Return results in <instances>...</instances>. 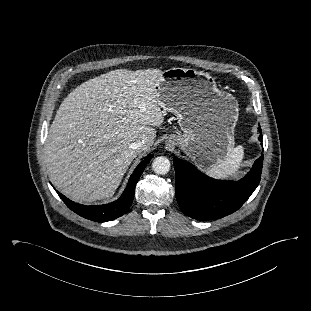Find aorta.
<instances>
[{
    "instance_id": "762f6f07",
    "label": "aorta",
    "mask_w": 311,
    "mask_h": 311,
    "mask_svg": "<svg viewBox=\"0 0 311 311\" xmlns=\"http://www.w3.org/2000/svg\"><path fill=\"white\" fill-rule=\"evenodd\" d=\"M152 169L155 173L165 175L170 170V161L165 156H158L152 162Z\"/></svg>"
}]
</instances>
